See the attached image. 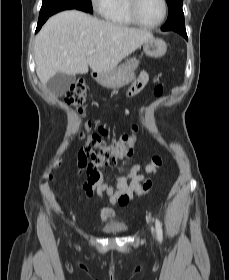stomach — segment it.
<instances>
[{
	"label": "stomach",
	"mask_w": 229,
	"mask_h": 280,
	"mask_svg": "<svg viewBox=\"0 0 229 280\" xmlns=\"http://www.w3.org/2000/svg\"><path fill=\"white\" fill-rule=\"evenodd\" d=\"M166 50V43L162 39L153 37L143 43V51L149 57L160 58L166 53ZM138 65L139 61L133 58L121 67L108 72L97 73L95 80L105 88L119 89L134 80Z\"/></svg>",
	"instance_id": "0dacf381"
}]
</instances>
